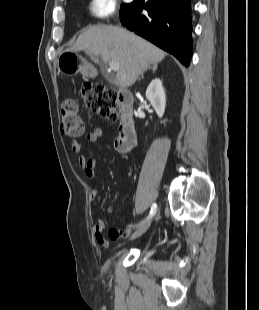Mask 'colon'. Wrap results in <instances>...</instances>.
Here are the masks:
<instances>
[{
  "instance_id": "5ec220e1",
  "label": "colon",
  "mask_w": 259,
  "mask_h": 310,
  "mask_svg": "<svg viewBox=\"0 0 259 310\" xmlns=\"http://www.w3.org/2000/svg\"><path fill=\"white\" fill-rule=\"evenodd\" d=\"M79 96L86 107L107 121L114 123L118 119L116 108L119 104L118 94L104 84H86L79 90ZM61 127L63 132L74 139L84 134V124L80 116L79 105L73 98H67L61 105Z\"/></svg>"
}]
</instances>
